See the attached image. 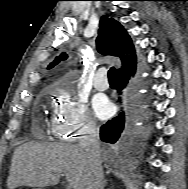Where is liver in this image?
<instances>
[{"label": "liver", "mask_w": 188, "mask_h": 189, "mask_svg": "<svg viewBox=\"0 0 188 189\" xmlns=\"http://www.w3.org/2000/svg\"><path fill=\"white\" fill-rule=\"evenodd\" d=\"M89 171V161L76 145L28 142L14 151L7 187L53 186L64 173L73 189H85Z\"/></svg>", "instance_id": "6515ba94"}]
</instances>
